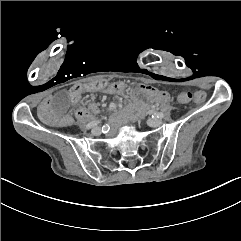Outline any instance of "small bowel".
<instances>
[{
  "label": "small bowel",
  "instance_id": "obj_1",
  "mask_svg": "<svg viewBox=\"0 0 241 241\" xmlns=\"http://www.w3.org/2000/svg\"><path fill=\"white\" fill-rule=\"evenodd\" d=\"M105 82V81H104ZM107 89L104 91L108 94L113 95H120L123 92H126L129 90L130 85L128 82L123 81L121 83H108ZM132 88L134 89V94L138 98H143L144 100H147L148 102H167L171 98V93L167 89H152L148 85H145L144 83H134L132 85ZM53 101L50 96L44 95L39 98V101L37 103L36 109L37 113L35 116L36 123L39 126L42 127H51L58 124V119L56 117V114L54 112H51L50 109L52 108ZM90 109L92 112H96V106L94 104L90 105ZM90 115H88L89 117ZM74 117L71 115L66 116L64 119L61 120L62 126H67L74 122Z\"/></svg>",
  "mask_w": 241,
  "mask_h": 241
}]
</instances>
